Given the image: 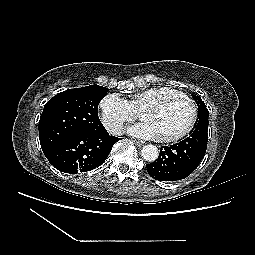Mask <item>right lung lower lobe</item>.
<instances>
[{
  "label": "right lung lower lobe",
  "mask_w": 255,
  "mask_h": 255,
  "mask_svg": "<svg viewBox=\"0 0 255 255\" xmlns=\"http://www.w3.org/2000/svg\"><path fill=\"white\" fill-rule=\"evenodd\" d=\"M118 140L120 138L109 136L106 129L97 133L74 132L45 156L59 171L86 172L100 166Z\"/></svg>",
  "instance_id": "1"
}]
</instances>
